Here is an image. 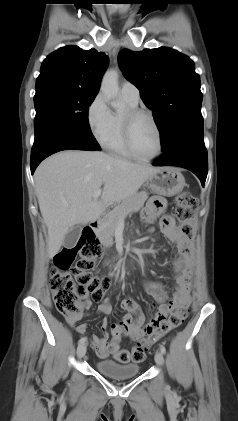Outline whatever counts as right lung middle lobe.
<instances>
[{
    "instance_id": "right-lung-middle-lobe-1",
    "label": "right lung middle lobe",
    "mask_w": 238,
    "mask_h": 421,
    "mask_svg": "<svg viewBox=\"0 0 238 421\" xmlns=\"http://www.w3.org/2000/svg\"><path fill=\"white\" fill-rule=\"evenodd\" d=\"M95 97L96 93L58 86L36 88L34 96L35 134L44 124L55 122L100 148L88 123L89 106Z\"/></svg>"
}]
</instances>
